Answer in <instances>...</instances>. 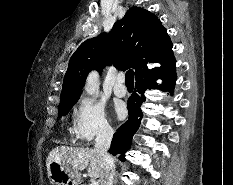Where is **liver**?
I'll return each mask as SVG.
<instances>
[{"label": "liver", "mask_w": 233, "mask_h": 185, "mask_svg": "<svg viewBox=\"0 0 233 185\" xmlns=\"http://www.w3.org/2000/svg\"><path fill=\"white\" fill-rule=\"evenodd\" d=\"M54 161L69 166L76 172L87 169L91 178H100L103 171L102 158L95 149L57 146L47 157V168Z\"/></svg>", "instance_id": "obj_1"}]
</instances>
